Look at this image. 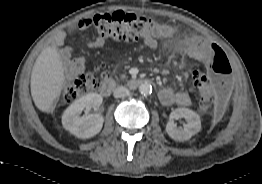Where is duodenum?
Instances as JSON below:
<instances>
[{
	"mask_svg": "<svg viewBox=\"0 0 262 184\" xmlns=\"http://www.w3.org/2000/svg\"><path fill=\"white\" fill-rule=\"evenodd\" d=\"M119 81L115 79H105L101 85H100V93L104 97H108L111 95L112 91L115 89V87L118 85ZM152 82L147 78H137V79H131L126 82V85L129 88L136 89L143 85H150Z\"/></svg>",
	"mask_w": 262,
	"mask_h": 184,
	"instance_id": "duodenum-1",
	"label": "duodenum"
}]
</instances>
